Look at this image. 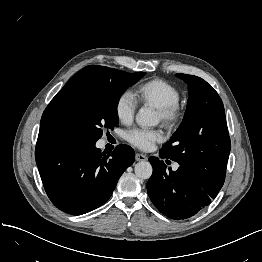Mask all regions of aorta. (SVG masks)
Segmentation results:
<instances>
[{
	"instance_id": "aorta-1",
	"label": "aorta",
	"mask_w": 262,
	"mask_h": 262,
	"mask_svg": "<svg viewBox=\"0 0 262 262\" xmlns=\"http://www.w3.org/2000/svg\"><path fill=\"white\" fill-rule=\"evenodd\" d=\"M135 119L138 125L144 127L155 126L158 123L155 111L150 108H141L137 112ZM152 172V166L147 161H141L135 165V174L140 179H149Z\"/></svg>"
}]
</instances>
